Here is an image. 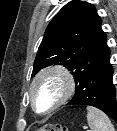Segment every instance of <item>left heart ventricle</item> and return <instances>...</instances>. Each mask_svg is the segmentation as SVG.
<instances>
[{
  "instance_id": "left-heart-ventricle-1",
  "label": "left heart ventricle",
  "mask_w": 117,
  "mask_h": 131,
  "mask_svg": "<svg viewBox=\"0 0 117 131\" xmlns=\"http://www.w3.org/2000/svg\"><path fill=\"white\" fill-rule=\"evenodd\" d=\"M63 92L62 81L54 76L44 78L35 89V101L39 111L51 108Z\"/></svg>"
}]
</instances>
